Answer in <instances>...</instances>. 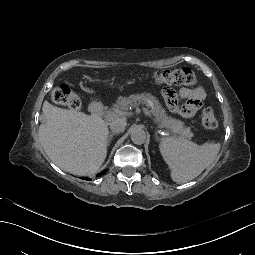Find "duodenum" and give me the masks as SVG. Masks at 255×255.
<instances>
[{"label":"duodenum","mask_w":255,"mask_h":255,"mask_svg":"<svg viewBox=\"0 0 255 255\" xmlns=\"http://www.w3.org/2000/svg\"><path fill=\"white\" fill-rule=\"evenodd\" d=\"M92 117L100 118L104 113V106L99 98H94L88 106Z\"/></svg>","instance_id":"duodenum-1"}]
</instances>
